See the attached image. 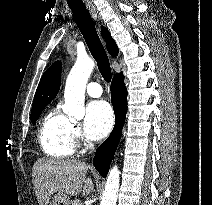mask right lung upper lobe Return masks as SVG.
I'll return each instance as SVG.
<instances>
[{
	"instance_id": "1",
	"label": "right lung upper lobe",
	"mask_w": 212,
	"mask_h": 205,
	"mask_svg": "<svg viewBox=\"0 0 212 205\" xmlns=\"http://www.w3.org/2000/svg\"><path fill=\"white\" fill-rule=\"evenodd\" d=\"M102 37L105 39L108 53L115 57L118 47L109 31L101 27ZM61 83V63L55 62L42 76L35 93L32 107L49 104L57 95Z\"/></svg>"
}]
</instances>
